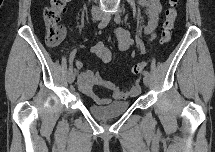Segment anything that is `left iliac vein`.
Here are the masks:
<instances>
[{
	"mask_svg": "<svg viewBox=\"0 0 215 152\" xmlns=\"http://www.w3.org/2000/svg\"><path fill=\"white\" fill-rule=\"evenodd\" d=\"M104 18H110V15L105 14ZM150 81H151V78H150L149 72H147V75L143 77V82L146 86H148L150 84Z\"/></svg>",
	"mask_w": 215,
	"mask_h": 152,
	"instance_id": "obj_1",
	"label": "left iliac vein"
}]
</instances>
